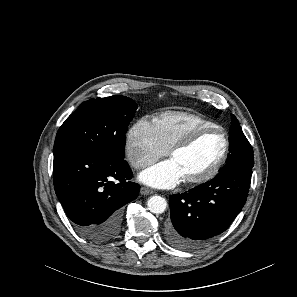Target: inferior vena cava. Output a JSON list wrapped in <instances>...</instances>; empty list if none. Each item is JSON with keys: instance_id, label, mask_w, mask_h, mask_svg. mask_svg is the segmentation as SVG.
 I'll list each match as a JSON object with an SVG mask.
<instances>
[{"instance_id": "602c4592", "label": "inferior vena cava", "mask_w": 297, "mask_h": 297, "mask_svg": "<svg viewBox=\"0 0 297 297\" xmlns=\"http://www.w3.org/2000/svg\"><path fill=\"white\" fill-rule=\"evenodd\" d=\"M145 164L144 163H138V164H136V166L139 168V167H142V166H144Z\"/></svg>"}]
</instances>
